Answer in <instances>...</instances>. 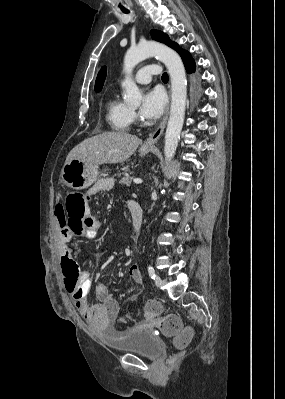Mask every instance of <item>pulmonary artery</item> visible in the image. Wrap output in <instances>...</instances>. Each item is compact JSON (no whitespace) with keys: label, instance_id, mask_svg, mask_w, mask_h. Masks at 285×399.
<instances>
[{"label":"pulmonary artery","instance_id":"e3ab8cb5","mask_svg":"<svg viewBox=\"0 0 285 399\" xmlns=\"http://www.w3.org/2000/svg\"><path fill=\"white\" fill-rule=\"evenodd\" d=\"M160 75L161 68L159 67V65L151 63L138 70V72L136 73V81L140 84H147L151 81V78L153 76Z\"/></svg>","mask_w":285,"mask_h":399}]
</instances>
